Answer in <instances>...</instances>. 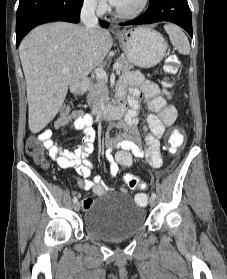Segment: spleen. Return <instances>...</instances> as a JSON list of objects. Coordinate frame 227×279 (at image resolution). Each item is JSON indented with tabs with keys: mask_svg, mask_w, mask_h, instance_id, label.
I'll return each instance as SVG.
<instances>
[{
	"mask_svg": "<svg viewBox=\"0 0 227 279\" xmlns=\"http://www.w3.org/2000/svg\"><path fill=\"white\" fill-rule=\"evenodd\" d=\"M164 29L169 35L172 45L178 50L179 53L183 55L190 53V44L188 38L178 26L166 24L164 25Z\"/></svg>",
	"mask_w": 227,
	"mask_h": 279,
	"instance_id": "spleen-1",
	"label": "spleen"
}]
</instances>
